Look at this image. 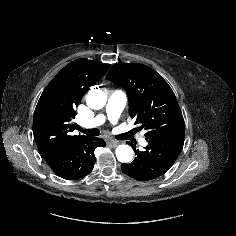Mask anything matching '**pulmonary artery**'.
<instances>
[{"label": "pulmonary artery", "instance_id": "obj_1", "mask_svg": "<svg viewBox=\"0 0 236 236\" xmlns=\"http://www.w3.org/2000/svg\"><path fill=\"white\" fill-rule=\"evenodd\" d=\"M126 95L121 90H114L111 92L107 107H106V115H97L91 121L86 122V127H95L103 124L106 119L110 122H116L120 117V114L125 106ZM140 144L145 146L147 144L144 138L140 139Z\"/></svg>", "mask_w": 236, "mask_h": 236}]
</instances>
